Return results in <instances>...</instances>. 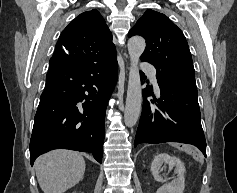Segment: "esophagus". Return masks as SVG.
I'll use <instances>...</instances> for the list:
<instances>
[{"label": "esophagus", "instance_id": "obj_1", "mask_svg": "<svg viewBox=\"0 0 237 193\" xmlns=\"http://www.w3.org/2000/svg\"><path fill=\"white\" fill-rule=\"evenodd\" d=\"M125 57H126V67L128 68V67H129V61H128V56H127V54H125Z\"/></svg>", "mask_w": 237, "mask_h": 193}]
</instances>
